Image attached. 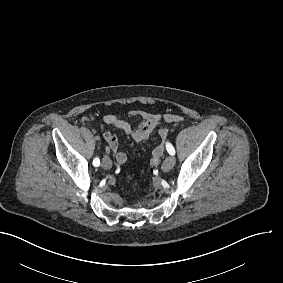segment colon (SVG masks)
<instances>
[{"label":"colon","mask_w":283,"mask_h":283,"mask_svg":"<svg viewBox=\"0 0 283 283\" xmlns=\"http://www.w3.org/2000/svg\"><path fill=\"white\" fill-rule=\"evenodd\" d=\"M167 140V133L164 130L159 131L156 144L157 146L152 150L150 156V171L156 173L158 171V165L164 155V144Z\"/></svg>","instance_id":"obj_1"}]
</instances>
